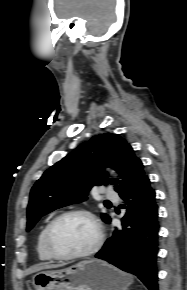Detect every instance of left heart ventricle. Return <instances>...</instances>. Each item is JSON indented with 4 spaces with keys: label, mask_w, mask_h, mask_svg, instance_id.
<instances>
[{
    "label": "left heart ventricle",
    "mask_w": 187,
    "mask_h": 290,
    "mask_svg": "<svg viewBox=\"0 0 187 290\" xmlns=\"http://www.w3.org/2000/svg\"><path fill=\"white\" fill-rule=\"evenodd\" d=\"M96 233L92 223L83 216H68L57 223L53 231V244L64 254L81 253L88 250L95 241Z\"/></svg>",
    "instance_id": "1"
}]
</instances>
